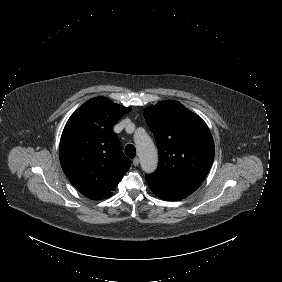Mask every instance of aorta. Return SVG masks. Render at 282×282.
I'll return each mask as SVG.
<instances>
[{"label": "aorta", "mask_w": 282, "mask_h": 282, "mask_svg": "<svg viewBox=\"0 0 282 282\" xmlns=\"http://www.w3.org/2000/svg\"><path fill=\"white\" fill-rule=\"evenodd\" d=\"M133 141L139 154L140 166L144 173L152 174L158 167V152L145 129H137Z\"/></svg>", "instance_id": "762f6f07"}]
</instances>
